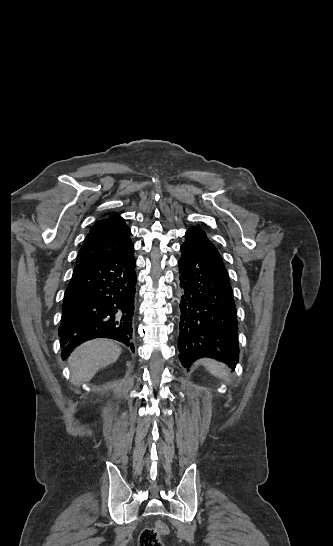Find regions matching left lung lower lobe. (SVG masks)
Instances as JSON below:
<instances>
[{
	"label": "left lung lower lobe",
	"instance_id": "0a47b994",
	"mask_svg": "<svg viewBox=\"0 0 333 546\" xmlns=\"http://www.w3.org/2000/svg\"><path fill=\"white\" fill-rule=\"evenodd\" d=\"M178 261L184 296L180 304L178 349L189 370L201 357L235 368L239 359L237 310L221 256L197 227L186 232Z\"/></svg>",
	"mask_w": 333,
	"mask_h": 546
}]
</instances>
